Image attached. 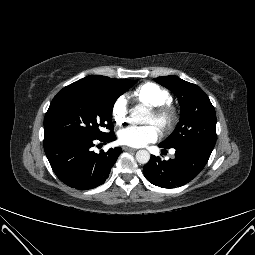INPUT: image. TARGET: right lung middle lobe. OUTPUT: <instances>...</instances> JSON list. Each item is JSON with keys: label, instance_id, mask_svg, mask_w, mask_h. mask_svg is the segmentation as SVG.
Returning <instances> with one entry per match:
<instances>
[{"label": "right lung middle lobe", "instance_id": "dd1d6c3e", "mask_svg": "<svg viewBox=\"0 0 255 255\" xmlns=\"http://www.w3.org/2000/svg\"><path fill=\"white\" fill-rule=\"evenodd\" d=\"M134 83V80L116 79L103 88L80 89L69 93L46 116L45 131L50 136L104 137L108 133L102 132V128L113 127L111 120L115 101Z\"/></svg>", "mask_w": 255, "mask_h": 255}]
</instances>
